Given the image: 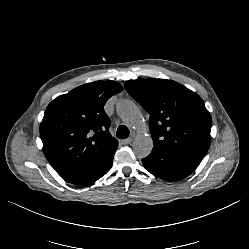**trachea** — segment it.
<instances>
[{
  "instance_id": "obj_1",
  "label": "trachea",
  "mask_w": 249,
  "mask_h": 249,
  "mask_svg": "<svg viewBox=\"0 0 249 249\" xmlns=\"http://www.w3.org/2000/svg\"><path fill=\"white\" fill-rule=\"evenodd\" d=\"M130 132L125 125H120L117 129V137L119 139H126L129 136Z\"/></svg>"
}]
</instances>
